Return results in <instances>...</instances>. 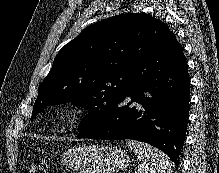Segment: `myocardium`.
I'll return each instance as SVG.
<instances>
[{"mask_svg":"<svg viewBox=\"0 0 219 173\" xmlns=\"http://www.w3.org/2000/svg\"><path fill=\"white\" fill-rule=\"evenodd\" d=\"M79 109L73 104H65L58 108L56 119L60 124L61 130H67L79 115Z\"/></svg>","mask_w":219,"mask_h":173,"instance_id":"myocardium-1","label":"myocardium"}]
</instances>
